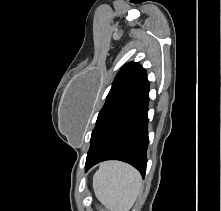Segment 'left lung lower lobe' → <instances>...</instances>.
<instances>
[{
  "label": "left lung lower lobe",
  "mask_w": 221,
  "mask_h": 211,
  "mask_svg": "<svg viewBox=\"0 0 221 211\" xmlns=\"http://www.w3.org/2000/svg\"><path fill=\"white\" fill-rule=\"evenodd\" d=\"M149 82L108 124L87 153L86 170L105 160H120L134 166L144 177L148 146Z\"/></svg>",
  "instance_id": "0a47b994"
}]
</instances>
